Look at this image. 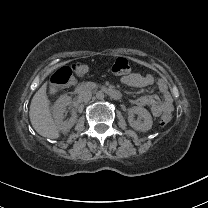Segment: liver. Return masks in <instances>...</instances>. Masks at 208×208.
I'll return each mask as SVG.
<instances>
[{"instance_id":"6515ba94","label":"liver","mask_w":208,"mask_h":208,"mask_svg":"<svg viewBox=\"0 0 208 208\" xmlns=\"http://www.w3.org/2000/svg\"><path fill=\"white\" fill-rule=\"evenodd\" d=\"M47 83L35 93L32 98L29 117L33 128L43 137L57 139L59 131L55 125L50 110L49 100L46 94Z\"/></svg>"}]
</instances>
